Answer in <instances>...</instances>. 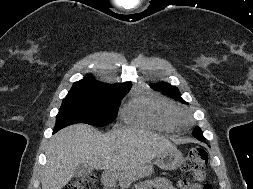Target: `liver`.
I'll list each match as a JSON object with an SVG mask.
<instances>
[{
	"label": "liver",
	"instance_id": "1",
	"mask_svg": "<svg viewBox=\"0 0 253 189\" xmlns=\"http://www.w3.org/2000/svg\"><path fill=\"white\" fill-rule=\"evenodd\" d=\"M173 148L176 147L165 137L141 129L114 128L102 134L90 125L74 124L49 141L42 189H62L74 177L79 164L122 171L132 182L145 173L147 163Z\"/></svg>",
	"mask_w": 253,
	"mask_h": 189
}]
</instances>
